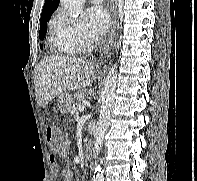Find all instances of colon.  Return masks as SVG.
<instances>
[{
  "label": "colon",
  "instance_id": "1",
  "mask_svg": "<svg viewBox=\"0 0 197 181\" xmlns=\"http://www.w3.org/2000/svg\"><path fill=\"white\" fill-rule=\"evenodd\" d=\"M46 138L50 148L58 152L63 146V139L60 130L55 126H49L46 129Z\"/></svg>",
  "mask_w": 197,
  "mask_h": 181
}]
</instances>
